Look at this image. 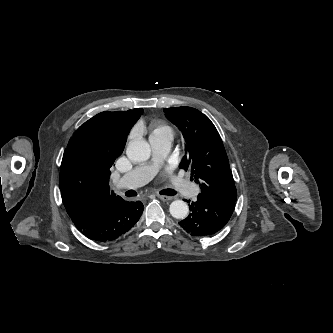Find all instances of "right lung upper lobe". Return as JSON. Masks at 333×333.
I'll list each match as a JSON object with an SVG mask.
<instances>
[{"label": "right lung upper lobe", "instance_id": "obj_1", "mask_svg": "<svg viewBox=\"0 0 333 333\" xmlns=\"http://www.w3.org/2000/svg\"><path fill=\"white\" fill-rule=\"evenodd\" d=\"M142 113V108L99 113L82 124L70 138L59 177L62 201L70 217L122 199L109 190L110 168L122 154L127 135ZM104 117L113 124L111 135L106 142L93 140L91 125Z\"/></svg>", "mask_w": 333, "mask_h": 333}]
</instances>
